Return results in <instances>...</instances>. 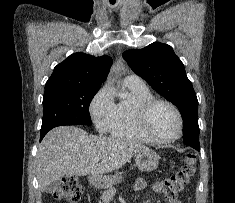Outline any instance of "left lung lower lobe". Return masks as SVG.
I'll return each mask as SVG.
<instances>
[{
	"mask_svg": "<svg viewBox=\"0 0 235 203\" xmlns=\"http://www.w3.org/2000/svg\"><path fill=\"white\" fill-rule=\"evenodd\" d=\"M183 143L193 148L195 147L196 150L200 151V145L193 143V133L191 131L183 132Z\"/></svg>",
	"mask_w": 235,
	"mask_h": 203,
	"instance_id": "left-lung-lower-lobe-1",
	"label": "left lung lower lobe"
}]
</instances>
